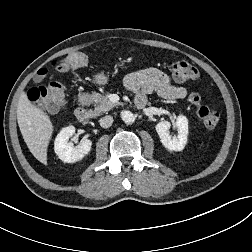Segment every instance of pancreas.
Segmentation results:
<instances>
[{"label": "pancreas", "instance_id": "pancreas-1", "mask_svg": "<svg viewBox=\"0 0 252 252\" xmlns=\"http://www.w3.org/2000/svg\"><path fill=\"white\" fill-rule=\"evenodd\" d=\"M95 102L97 103L94 107L93 115L99 116L103 113L108 112L110 109L116 107L118 104L113 103L107 97L101 96L98 93L94 95Z\"/></svg>", "mask_w": 252, "mask_h": 252}]
</instances>
